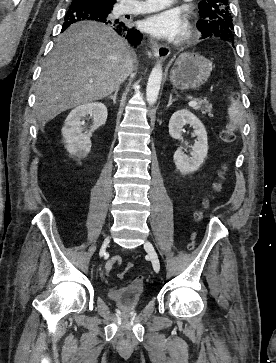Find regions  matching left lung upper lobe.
Wrapping results in <instances>:
<instances>
[{"mask_svg": "<svg viewBox=\"0 0 276 363\" xmlns=\"http://www.w3.org/2000/svg\"><path fill=\"white\" fill-rule=\"evenodd\" d=\"M198 29L202 38L220 37L234 39L233 23L228 0H203L199 3Z\"/></svg>", "mask_w": 276, "mask_h": 363, "instance_id": "left-lung-upper-lobe-1", "label": "left lung upper lobe"}]
</instances>
